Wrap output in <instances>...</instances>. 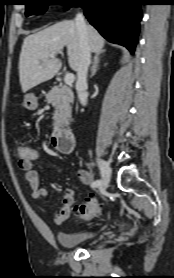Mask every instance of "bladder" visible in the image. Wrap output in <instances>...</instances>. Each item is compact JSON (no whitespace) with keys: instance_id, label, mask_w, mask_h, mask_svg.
<instances>
[{"instance_id":"obj_1","label":"bladder","mask_w":174,"mask_h":278,"mask_svg":"<svg viewBox=\"0 0 174 278\" xmlns=\"http://www.w3.org/2000/svg\"><path fill=\"white\" fill-rule=\"evenodd\" d=\"M95 235V231H86L80 233L58 232L56 239L61 246L65 248H72L91 240Z\"/></svg>"}]
</instances>
